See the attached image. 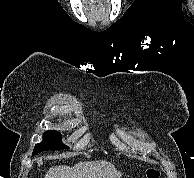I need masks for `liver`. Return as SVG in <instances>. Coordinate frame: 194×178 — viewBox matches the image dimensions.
Wrapping results in <instances>:
<instances>
[{
  "instance_id": "liver-1",
  "label": "liver",
  "mask_w": 194,
  "mask_h": 178,
  "mask_svg": "<svg viewBox=\"0 0 194 178\" xmlns=\"http://www.w3.org/2000/svg\"><path fill=\"white\" fill-rule=\"evenodd\" d=\"M121 172L107 161L80 162L73 167H51L45 178H120Z\"/></svg>"
}]
</instances>
